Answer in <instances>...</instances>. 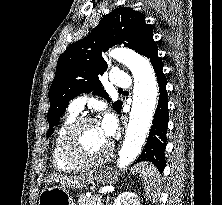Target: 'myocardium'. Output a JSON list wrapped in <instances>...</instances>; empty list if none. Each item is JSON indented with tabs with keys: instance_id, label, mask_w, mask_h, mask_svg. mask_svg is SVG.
<instances>
[{
	"instance_id": "myocardium-1",
	"label": "myocardium",
	"mask_w": 222,
	"mask_h": 205,
	"mask_svg": "<svg viewBox=\"0 0 222 205\" xmlns=\"http://www.w3.org/2000/svg\"><path fill=\"white\" fill-rule=\"evenodd\" d=\"M89 123H97V120L88 116L76 118L74 122L65 131L62 138V152L65 158L69 162L79 166H93L103 163L110 157L114 147L112 140H109L106 150L101 155L94 158H85L81 156L78 151L74 148V138L78 131L84 125Z\"/></svg>"
}]
</instances>
